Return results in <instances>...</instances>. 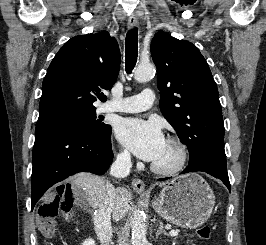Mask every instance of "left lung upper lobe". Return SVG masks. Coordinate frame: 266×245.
Wrapping results in <instances>:
<instances>
[{
  "label": "left lung upper lobe",
  "instance_id": "5c2ea615",
  "mask_svg": "<svg viewBox=\"0 0 266 245\" xmlns=\"http://www.w3.org/2000/svg\"><path fill=\"white\" fill-rule=\"evenodd\" d=\"M158 70L160 110L189 150V164H226L224 125L217 85L198 48L159 31L151 42Z\"/></svg>",
  "mask_w": 266,
  "mask_h": 245
}]
</instances>
